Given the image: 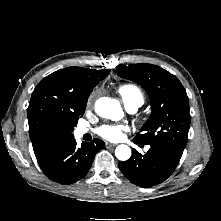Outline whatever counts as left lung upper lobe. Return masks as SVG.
Wrapping results in <instances>:
<instances>
[{
    "instance_id": "5c2ea615",
    "label": "left lung upper lobe",
    "mask_w": 221,
    "mask_h": 221,
    "mask_svg": "<svg viewBox=\"0 0 221 221\" xmlns=\"http://www.w3.org/2000/svg\"><path fill=\"white\" fill-rule=\"evenodd\" d=\"M123 78L140 84L148 93L152 114L135 137L139 143L160 145L183 153L191 116L186 90L176 76L152 64L117 67Z\"/></svg>"
}]
</instances>
